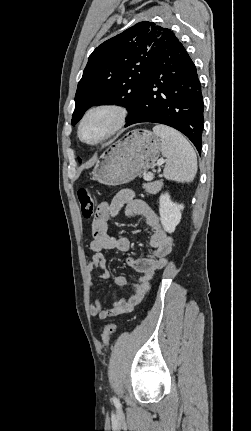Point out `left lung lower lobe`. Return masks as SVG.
I'll list each match as a JSON object with an SVG mask.
<instances>
[{
  "label": "left lung lower lobe",
  "instance_id": "left-lung-lower-lobe-1",
  "mask_svg": "<svg viewBox=\"0 0 251 431\" xmlns=\"http://www.w3.org/2000/svg\"><path fill=\"white\" fill-rule=\"evenodd\" d=\"M203 97L196 67L173 34L157 50L138 104L126 122H153L186 135L201 152Z\"/></svg>",
  "mask_w": 251,
  "mask_h": 431
}]
</instances>
